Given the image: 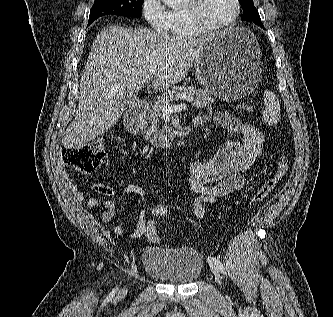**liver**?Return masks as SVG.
Returning <instances> with one entry per match:
<instances>
[{
  "instance_id": "1",
  "label": "liver",
  "mask_w": 333,
  "mask_h": 317,
  "mask_svg": "<svg viewBox=\"0 0 333 317\" xmlns=\"http://www.w3.org/2000/svg\"><path fill=\"white\" fill-rule=\"evenodd\" d=\"M211 36L184 37L122 25L102 29L81 76L78 110L62 136L64 148L79 149L107 132L126 109L122 97L133 96L150 79L156 91L181 82Z\"/></svg>"
}]
</instances>
